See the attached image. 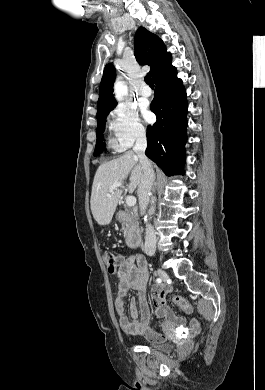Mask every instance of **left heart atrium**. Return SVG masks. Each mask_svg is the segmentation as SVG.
<instances>
[{"mask_svg":"<svg viewBox=\"0 0 265 390\" xmlns=\"http://www.w3.org/2000/svg\"><path fill=\"white\" fill-rule=\"evenodd\" d=\"M144 115H145L147 120H150L151 117H152V115L149 112H147V111L144 113Z\"/></svg>","mask_w":265,"mask_h":390,"instance_id":"1","label":"left heart atrium"}]
</instances>
